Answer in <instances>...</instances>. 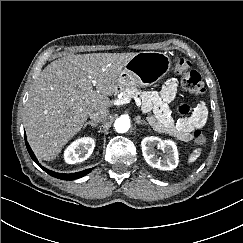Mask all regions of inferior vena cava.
Segmentation results:
<instances>
[{
	"mask_svg": "<svg viewBox=\"0 0 243 243\" xmlns=\"http://www.w3.org/2000/svg\"><path fill=\"white\" fill-rule=\"evenodd\" d=\"M109 111L106 108L94 109L89 112V117L94 122H100L107 119Z\"/></svg>",
	"mask_w": 243,
	"mask_h": 243,
	"instance_id": "602c4592",
	"label": "inferior vena cava"
}]
</instances>
